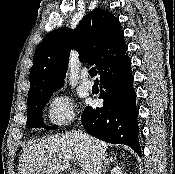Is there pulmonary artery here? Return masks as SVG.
Returning a JSON list of instances; mask_svg holds the SVG:
<instances>
[{"instance_id": "e3ab8cb5", "label": "pulmonary artery", "mask_w": 175, "mask_h": 174, "mask_svg": "<svg viewBox=\"0 0 175 174\" xmlns=\"http://www.w3.org/2000/svg\"><path fill=\"white\" fill-rule=\"evenodd\" d=\"M81 86L86 90H91L93 83L88 79V72L83 71L81 75Z\"/></svg>"}]
</instances>
